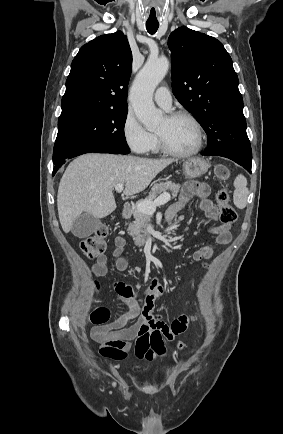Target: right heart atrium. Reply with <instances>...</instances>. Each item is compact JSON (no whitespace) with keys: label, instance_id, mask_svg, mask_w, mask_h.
<instances>
[{"label":"right heart atrium","instance_id":"right-heart-atrium-1","mask_svg":"<svg viewBox=\"0 0 283 434\" xmlns=\"http://www.w3.org/2000/svg\"><path fill=\"white\" fill-rule=\"evenodd\" d=\"M122 134L127 146L137 154L149 152L156 141V136L141 124L131 110L124 117Z\"/></svg>","mask_w":283,"mask_h":434}]
</instances>
